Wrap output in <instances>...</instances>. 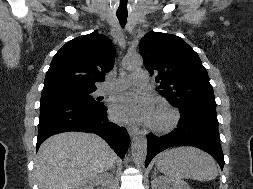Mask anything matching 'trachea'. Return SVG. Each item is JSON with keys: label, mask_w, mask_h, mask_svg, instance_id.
<instances>
[{"label": "trachea", "mask_w": 253, "mask_h": 189, "mask_svg": "<svg viewBox=\"0 0 253 189\" xmlns=\"http://www.w3.org/2000/svg\"><path fill=\"white\" fill-rule=\"evenodd\" d=\"M121 26H125L127 22V14H116Z\"/></svg>", "instance_id": "3493384b"}]
</instances>
